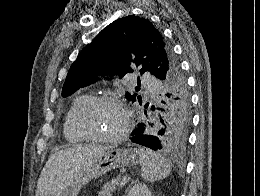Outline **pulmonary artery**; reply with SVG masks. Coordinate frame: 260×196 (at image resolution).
Returning a JSON list of instances; mask_svg holds the SVG:
<instances>
[{"label": "pulmonary artery", "instance_id": "1", "mask_svg": "<svg viewBox=\"0 0 260 196\" xmlns=\"http://www.w3.org/2000/svg\"><path fill=\"white\" fill-rule=\"evenodd\" d=\"M141 81L143 84H154L155 80L150 79V76H141Z\"/></svg>", "mask_w": 260, "mask_h": 196}]
</instances>
